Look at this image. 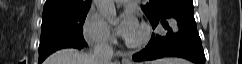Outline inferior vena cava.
Masks as SVG:
<instances>
[{"label": "inferior vena cava", "mask_w": 242, "mask_h": 64, "mask_svg": "<svg viewBox=\"0 0 242 64\" xmlns=\"http://www.w3.org/2000/svg\"><path fill=\"white\" fill-rule=\"evenodd\" d=\"M112 56L113 48L108 42L101 41L94 45V57L98 64H111Z\"/></svg>", "instance_id": "1"}]
</instances>
